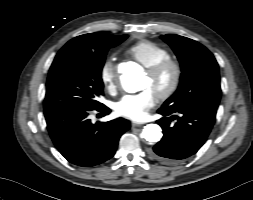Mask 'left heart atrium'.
Instances as JSON below:
<instances>
[{"mask_svg": "<svg viewBox=\"0 0 253 200\" xmlns=\"http://www.w3.org/2000/svg\"><path fill=\"white\" fill-rule=\"evenodd\" d=\"M155 103V93L151 89L146 88L141 92L123 96L115 104V111L119 116L133 121H141Z\"/></svg>", "mask_w": 253, "mask_h": 200, "instance_id": "left-heart-atrium-1", "label": "left heart atrium"}]
</instances>
